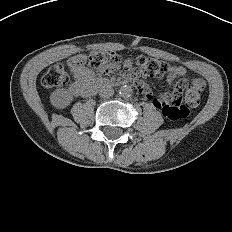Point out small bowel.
<instances>
[{
  "mask_svg": "<svg viewBox=\"0 0 232 232\" xmlns=\"http://www.w3.org/2000/svg\"><path fill=\"white\" fill-rule=\"evenodd\" d=\"M78 57V56H76ZM68 61V67L72 72L75 80L70 84L69 90L74 95L87 96V87L94 78V74L91 70L86 68L84 65H79L76 63L75 58ZM120 66L123 70L127 71L128 75L131 77L133 82H135L138 90L143 93L148 100H150L153 105L162 111V106L157 102V98L148 90L146 85L138 81L137 76L140 73L139 68L134 60L125 58L121 61ZM186 76V69L182 66H173L169 70L168 79L173 82L178 78H184ZM192 86L199 87L202 90L205 87V81L202 78L196 77L191 81Z\"/></svg>",
  "mask_w": 232,
  "mask_h": 232,
  "instance_id": "small-bowel-1",
  "label": "small bowel"
}]
</instances>
